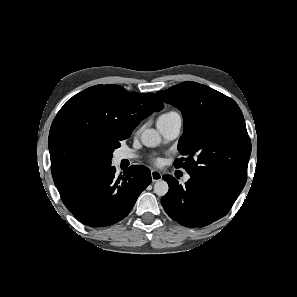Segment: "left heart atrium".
<instances>
[{"label": "left heart atrium", "mask_w": 297, "mask_h": 297, "mask_svg": "<svg viewBox=\"0 0 297 297\" xmlns=\"http://www.w3.org/2000/svg\"><path fill=\"white\" fill-rule=\"evenodd\" d=\"M160 162H161L160 159H156V160H155V163H156V164H159Z\"/></svg>", "instance_id": "1"}]
</instances>
